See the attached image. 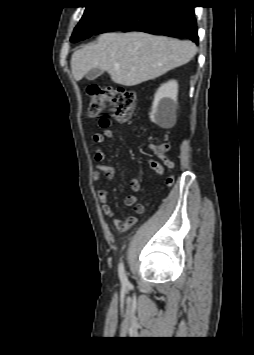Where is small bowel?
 Here are the masks:
<instances>
[{
    "label": "small bowel",
    "mask_w": 254,
    "mask_h": 355,
    "mask_svg": "<svg viewBox=\"0 0 254 355\" xmlns=\"http://www.w3.org/2000/svg\"><path fill=\"white\" fill-rule=\"evenodd\" d=\"M110 124L108 119H104L103 123L100 125L102 127H108ZM114 138V132L111 129H105L103 132L94 133L92 139L97 145L94 151V159L97 170L92 175V181L94 183L101 182L102 178L105 177L108 180H112L115 177V169L111 166L105 164V152L101 145L108 139ZM157 157L162 159L164 163L168 166L170 170L174 169V163L166 158L164 155L156 154ZM150 168L155 171L158 175H163L165 169L163 165L157 160L150 159L148 161ZM129 187L132 192L137 193L140 190V181L137 178L131 179ZM97 198L99 200L102 212L108 216L117 231L126 232L137 222V216H129L126 220H120L116 217L113 208L108 204V191L106 189H100L97 193ZM126 206H134L137 203V197L134 194L128 195L125 198ZM135 212L141 214L143 212V206L137 205L135 207Z\"/></svg>",
    "instance_id": "obj_1"
}]
</instances>
